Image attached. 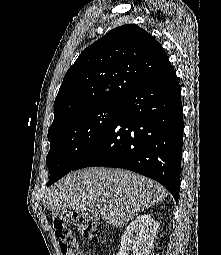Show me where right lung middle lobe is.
<instances>
[{"label":"right lung middle lobe","instance_id":"obj_1","mask_svg":"<svg viewBox=\"0 0 221 255\" xmlns=\"http://www.w3.org/2000/svg\"><path fill=\"white\" fill-rule=\"evenodd\" d=\"M120 103H103L72 113L49 128L47 186L68 174L110 124Z\"/></svg>","mask_w":221,"mask_h":255}]
</instances>
